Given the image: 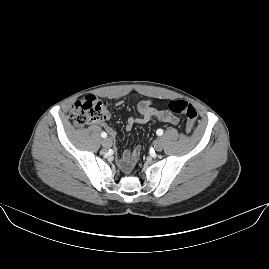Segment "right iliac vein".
Returning a JSON list of instances; mask_svg holds the SVG:
<instances>
[{
    "label": "right iliac vein",
    "instance_id": "obj_1",
    "mask_svg": "<svg viewBox=\"0 0 269 269\" xmlns=\"http://www.w3.org/2000/svg\"><path fill=\"white\" fill-rule=\"evenodd\" d=\"M102 146L104 148H110L112 146V140L110 138H105L102 140Z\"/></svg>",
    "mask_w": 269,
    "mask_h": 269
}]
</instances>
